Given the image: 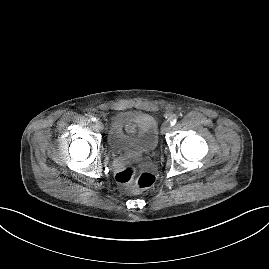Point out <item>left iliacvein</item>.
<instances>
[{"label": "left iliac vein", "instance_id": "left-iliac-vein-1", "mask_svg": "<svg viewBox=\"0 0 269 269\" xmlns=\"http://www.w3.org/2000/svg\"><path fill=\"white\" fill-rule=\"evenodd\" d=\"M170 129H171L170 124L164 123L162 126V129H161V132H162V134H165V133L169 132Z\"/></svg>", "mask_w": 269, "mask_h": 269}]
</instances>
